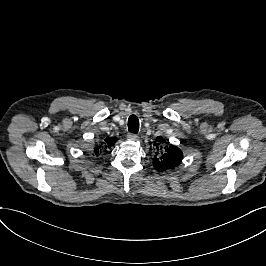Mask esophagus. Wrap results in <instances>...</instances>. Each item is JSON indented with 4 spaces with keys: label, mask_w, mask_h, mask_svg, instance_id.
Wrapping results in <instances>:
<instances>
[{
    "label": "esophagus",
    "mask_w": 266,
    "mask_h": 266,
    "mask_svg": "<svg viewBox=\"0 0 266 266\" xmlns=\"http://www.w3.org/2000/svg\"><path fill=\"white\" fill-rule=\"evenodd\" d=\"M127 139L130 141H136L138 139V136L134 133H128L127 134Z\"/></svg>",
    "instance_id": "1"
}]
</instances>
